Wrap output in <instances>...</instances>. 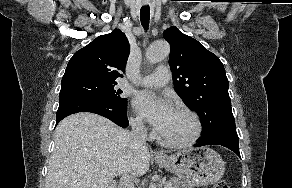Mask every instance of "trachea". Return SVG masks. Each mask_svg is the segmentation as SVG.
<instances>
[{
  "instance_id": "obj_1",
  "label": "trachea",
  "mask_w": 292,
  "mask_h": 188,
  "mask_svg": "<svg viewBox=\"0 0 292 188\" xmlns=\"http://www.w3.org/2000/svg\"><path fill=\"white\" fill-rule=\"evenodd\" d=\"M140 20L141 24L145 30L148 29L149 20H150V8L148 5L143 6L140 10Z\"/></svg>"
}]
</instances>
